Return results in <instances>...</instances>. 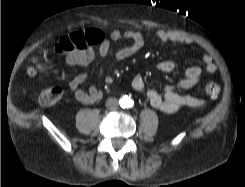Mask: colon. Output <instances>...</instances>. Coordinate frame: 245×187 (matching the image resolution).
Here are the masks:
<instances>
[{"instance_id":"5ec220e1","label":"colon","mask_w":245,"mask_h":187,"mask_svg":"<svg viewBox=\"0 0 245 187\" xmlns=\"http://www.w3.org/2000/svg\"><path fill=\"white\" fill-rule=\"evenodd\" d=\"M86 31H78L61 37L55 45V51L59 53L84 50L91 43L86 38ZM44 68L36 61H32L27 67V73L37 79L43 77ZM204 92L210 97H217L221 92V86L217 83H207L203 87ZM63 96V89L60 86H47L43 88L39 96L42 106H52Z\"/></svg>"}]
</instances>
